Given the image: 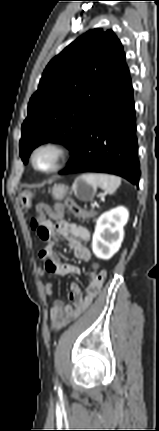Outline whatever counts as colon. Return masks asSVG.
Masks as SVG:
<instances>
[{"label":"colon","instance_id":"1","mask_svg":"<svg viewBox=\"0 0 159 431\" xmlns=\"http://www.w3.org/2000/svg\"><path fill=\"white\" fill-rule=\"evenodd\" d=\"M68 209L73 215L85 218L89 216V213L81 209L74 201L65 200L64 202L57 203L52 209L49 205L45 203H39L36 206L37 218H34L31 222L32 229L36 232H44V223L48 220L47 216L54 219L61 218L64 210ZM98 263H92V268H98ZM103 271V270H102ZM104 272V271H103Z\"/></svg>","mask_w":159,"mask_h":431}]
</instances>
